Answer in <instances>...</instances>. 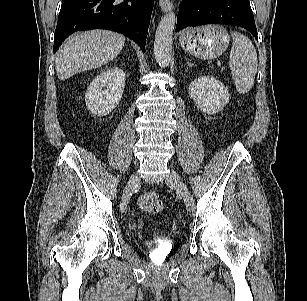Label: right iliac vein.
<instances>
[{
  "label": "right iliac vein",
  "mask_w": 307,
  "mask_h": 301,
  "mask_svg": "<svg viewBox=\"0 0 307 301\" xmlns=\"http://www.w3.org/2000/svg\"><path fill=\"white\" fill-rule=\"evenodd\" d=\"M140 179H139V176L138 174H133L131 175L130 179H129V182L124 190V193H123V196H122V206L125 207L132 194H133V191H134V188L135 186L139 183Z\"/></svg>",
  "instance_id": "1"
}]
</instances>
